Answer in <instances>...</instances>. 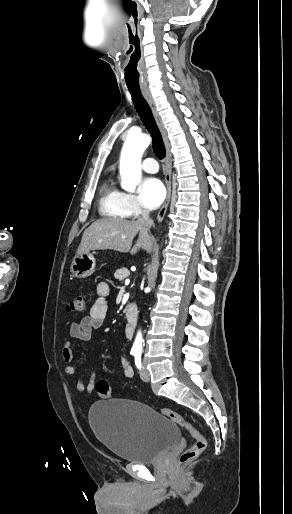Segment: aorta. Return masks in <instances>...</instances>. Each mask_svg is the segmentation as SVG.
<instances>
[{
  "instance_id": "1",
  "label": "aorta",
  "mask_w": 292,
  "mask_h": 514,
  "mask_svg": "<svg viewBox=\"0 0 292 514\" xmlns=\"http://www.w3.org/2000/svg\"><path fill=\"white\" fill-rule=\"evenodd\" d=\"M151 140L146 134H128L123 146L120 160L121 186L126 192H134L141 180V158ZM135 350L142 348L141 334H137L134 342Z\"/></svg>"
}]
</instances>
